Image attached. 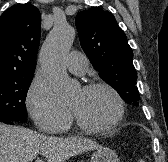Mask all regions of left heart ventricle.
Here are the masks:
<instances>
[{"mask_svg": "<svg viewBox=\"0 0 168 162\" xmlns=\"http://www.w3.org/2000/svg\"><path fill=\"white\" fill-rule=\"evenodd\" d=\"M70 108L87 124L103 125L116 114V103L111 94L98 89L85 92L77 91L69 102Z\"/></svg>", "mask_w": 168, "mask_h": 162, "instance_id": "b2bd125f", "label": "left heart ventricle"}]
</instances>
